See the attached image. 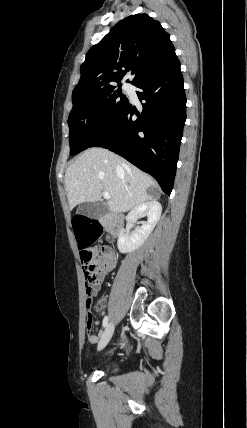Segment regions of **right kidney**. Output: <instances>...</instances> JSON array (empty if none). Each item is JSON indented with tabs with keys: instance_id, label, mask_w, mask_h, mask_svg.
I'll use <instances>...</instances> for the list:
<instances>
[{
	"instance_id": "right-kidney-1",
	"label": "right kidney",
	"mask_w": 247,
	"mask_h": 428,
	"mask_svg": "<svg viewBox=\"0 0 247 428\" xmlns=\"http://www.w3.org/2000/svg\"><path fill=\"white\" fill-rule=\"evenodd\" d=\"M161 213L162 206L155 200L144 202L132 209L126 217L128 222H135L144 215H147L148 219L142 223L141 227H136L130 235L125 233V230L120 232L117 242L119 251L121 253H131L138 249L155 228Z\"/></svg>"
}]
</instances>
